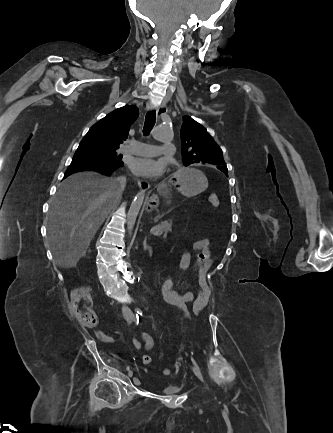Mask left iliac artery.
I'll use <instances>...</instances> for the list:
<instances>
[{
	"mask_svg": "<svg viewBox=\"0 0 333 433\" xmlns=\"http://www.w3.org/2000/svg\"><path fill=\"white\" fill-rule=\"evenodd\" d=\"M136 311H137V313H138L139 315L142 316V312H141L139 309H136ZM191 360H192L193 364L196 365V366L198 367V365L196 364L195 360H194L192 357H191Z\"/></svg>",
	"mask_w": 333,
	"mask_h": 433,
	"instance_id": "obj_1",
	"label": "left iliac artery"
}]
</instances>
